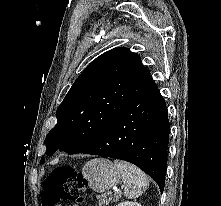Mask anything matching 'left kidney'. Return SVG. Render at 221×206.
Returning a JSON list of instances; mask_svg holds the SVG:
<instances>
[{
  "label": "left kidney",
  "mask_w": 221,
  "mask_h": 206,
  "mask_svg": "<svg viewBox=\"0 0 221 206\" xmlns=\"http://www.w3.org/2000/svg\"><path fill=\"white\" fill-rule=\"evenodd\" d=\"M117 206H141V204L133 201H124L119 203Z\"/></svg>",
  "instance_id": "obj_1"
}]
</instances>
